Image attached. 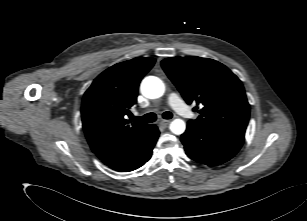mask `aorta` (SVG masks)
<instances>
[{
	"instance_id": "obj_1",
	"label": "aorta",
	"mask_w": 307,
	"mask_h": 221,
	"mask_svg": "<svg viewBox=\"0 0 307 221\" xmlns=\"http://www.w3.org/2000/svg\"><path fill=\"white\" fill-rule=\"evenodd\" d=\"M141 93L150 99L161 97L165 92V85L161 79L155 76H148L143 79L141 86ZM186 124L182 119H175L170 123V130L176 135L184 133Z\"/></svg>"
}]
</instances>
